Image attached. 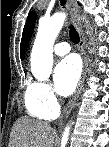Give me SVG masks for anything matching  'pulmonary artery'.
<instances>
[{
    "label": "pulmonary artery",
    "mask_w": 109,
    "mask_h": 147,
    "mask_svg": "<svg viewBox=\"0 0 109 147\" xmlns=\"http://www.w3.org/2000/svg\"><path fill=\"white\" fill-rule=\"evenodd\" d=\"M54 54L57 56H64L70 52V45L67 42H59L54 46ZM55 117H49L48 120L54 119Z\"/></svg>",
    "instance_id": "obj_1"
}]
</instances>
